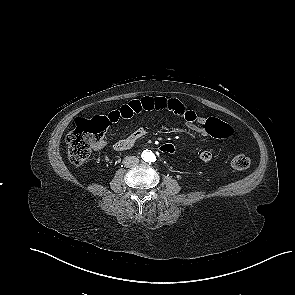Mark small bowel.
I'll return each mask as SVG.
<instances>
[{"label":"small bowel","instance_id":"c3829d8e","mask_svg":"<svg viewBox=\"0 0 295 295\" xmlns=\"http://www.w3.org/2000/svg\"><path fill=\"white\" fill-rule=\"evenodd\" d=\"M150 111H167L182 118L187 125V128L199 135H206V123L210 119L198 115L194 110L187 108L182 102L173 98L166 97H152L146 96L141 99L132 100L127 104L122 105L118 109L110 111L105 117L108 123H115L120 119H130L136 114ZM146 134L143 128H138L127 137L118 140L114 143L113 149L115 151H126L133 147ZM104 143L98 145L103 147ZM212 152L209 150H202L199 153V159L202 162H209L212 159Z\"/></svg>","mask_w":295,"mask_h":295}]
</instances>
